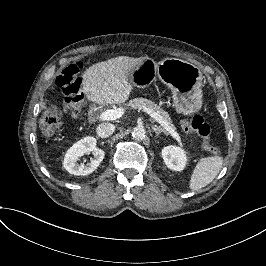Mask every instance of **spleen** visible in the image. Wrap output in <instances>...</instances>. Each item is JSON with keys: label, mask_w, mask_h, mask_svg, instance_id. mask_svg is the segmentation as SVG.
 <instances>
[{"label": "spleen", "mask_w": 266, "mask_h": 266, "mask_svg": "<svg viewBox=\"0 0 266 266\" xmlns=\"http://www.w3.org/2000/svg\"><path fill=\"white\" fill-rule=\"evenodd\" d=\"M223 162L221 155L200 158L192 170L188 188L196 191L209 185L220 172Z\"/></svg>", "instance_id": "3e777b00"}]
</instances>
